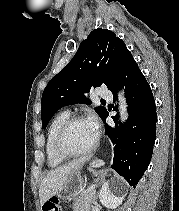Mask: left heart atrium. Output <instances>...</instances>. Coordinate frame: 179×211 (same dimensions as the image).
Here are the masks:
<instances>
[{"mask_svg": "<svg viewBox=\"0 0 179 211\" xmlns=\"http://www.w3.org/2000/svg\"><path fill=\"white\" fill-rule=\"evenodd\" d=\"M85 122L88 125L93 136L97 138L100 132V124L97 117L95 115H90L86 118Z\"/></svg>", "mask_w": 179, "mask_h": 211, "instance_id": "39dd6f15", "label": "left heart atrium"}]
</instances>
